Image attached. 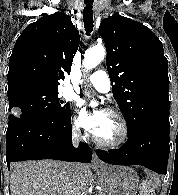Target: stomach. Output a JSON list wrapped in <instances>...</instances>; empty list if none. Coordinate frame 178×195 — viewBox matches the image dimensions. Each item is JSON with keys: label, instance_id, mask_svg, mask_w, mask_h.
Masks as SVG:
<instances>
[{"label": "stomach", "instance_id": "1", "mask_svg": "<svg viewBox=\"0 0 178 195\" xmlns=\"http://www.w3.org/2000/svg\"><path fill=\"white\" fill-rule=\"evenodd\" d=\"M104 195H137L139 177L127 166H103L97 169Z\"/></svg>", "mask_w": 178, "mask_h": 195}]
</instances>
